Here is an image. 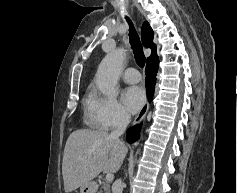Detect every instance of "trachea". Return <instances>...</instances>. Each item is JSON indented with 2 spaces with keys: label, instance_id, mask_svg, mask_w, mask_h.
Wrapping results in <instances>:
<instances>
[{
  "label": "trachea",
  "instance_id": "1",
  "mask_svg": "<svg viewBox=\"0 0 237 193\" xmlns=\"http://www.w3.org/2000/svg\"><path fill=\"white\" fill-rule=\"evenodd\" d=\"M126 19L129 24V38H130V44H131V47L133 49V53L135 56V60L140 67H144L145 55H144L143 48H142V45L140 42V38H139L132 22L130 21V19L128 17H126Z\"/></svg>",
  "mask_w": 237,
  "mask_h": 193
}]
</instances>
